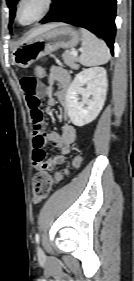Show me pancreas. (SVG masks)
Returning a JSON list of instances; mask_svg holds the SVG:
<instances>
[{"mask_svg":"<svg viewBox=\"0 0 134 281\" xmlns=\"http://www.w3.org/2000/svg\"><path fill=\"white\" fill-rule=\"evenodd\" d=\"M63 61L66 65L72 69L78 70L79 65L77 64V57L73 56L70 51H65L62 55Z\"/></svg>","mask_w":134,"mask_h":281,"instance_id":"cf45deb5","label":"pancreas"}]
</instances>
